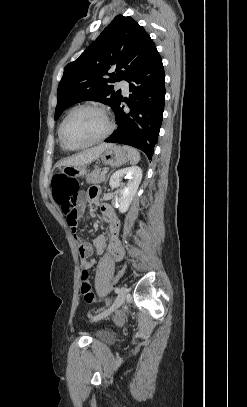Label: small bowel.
Returning a JSON list of instances; mask_svg holds the SVG:
<instances>
[{
    "label": "small bowel",
    "instance_id": "small-bowel-1",
    "mask_svg": "<svg viewBox=\"0 0 247 407\" xmlns=\"http://www.w3.org/2000/svg\"><path fill=\"white\" fill-rule=\"evenodd\" d=\"M98 194V189L95 187H91L87 192L77 194L71 199L59 203L62 213L66 218L67 224L70 227L74 238L79 243L81 265L84 269L87 270L92 268L95 264V260L90 259L93 247L99 254H102L105 250H110L117 259H120L123 254V250L118 237L120 231V223L113 208L108 204H101L100 211L107 225L108 232L110 234V241L107 242L105 235H98L93 240L92 245L88 242H82L77 235V223L79 218L84 213L85 202L89 201L93 204H96Z\"/></svg>",
    "mask_w": 247,
    "mask_h": 407
}]
</instances>
